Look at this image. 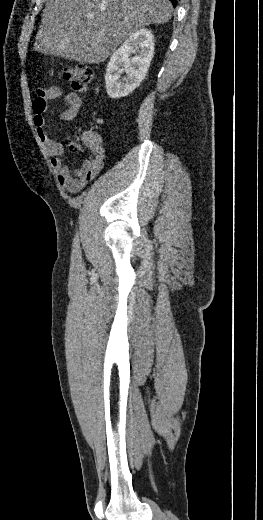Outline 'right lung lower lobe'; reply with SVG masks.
<instances>
[{
    "instance_id": "right-lung-lower-lobe-1",
    "label": "right lung lower lobe",
    "mask_w": 263,
    "mask_h": 520,
    "mask_svg": "<svg viewBox=\"0 0 263 520\" xmlns=\"http://www.w3.org/2000/svg\"><path fill=\"white\" fill-rule=\"evenodd\" d=\"M173 4V6L175 7L176 6V0H170Z\"/></svg>"
}]
</instances>
